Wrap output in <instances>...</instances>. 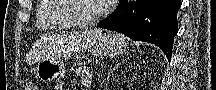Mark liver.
<instances>
[{"mask_svg": "<svg viewBox=\"0 0 216 90\" xmlns=\"http://www.w3.org/2000/svg\"><path fill=\"white\" fill-rule=\"evenodd\" d=\"M101 36V30H86V32H72L67 36V56H70L71 52H79L83 48H91L94 44V40H98Z\"/></svg>", "mask_w": 216, "mask_h": 90, "instance_id": "obj_1", "label": "liver"}]
</instances>
